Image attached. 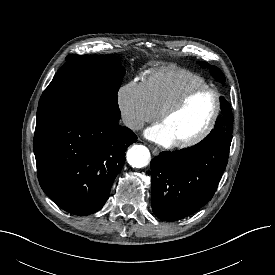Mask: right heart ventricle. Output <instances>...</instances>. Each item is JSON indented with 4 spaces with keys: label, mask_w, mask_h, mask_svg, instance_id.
<instances>
[{
    "label": "right heart ventricle",
    "mask_w": 275,
    "mask_h": 275,
    "mask_svg": "<svg viewBox=\"0 0 275 275\" xmlns=\"http://www.w3.org/2000/svg\"><path fill=\"white\" fill-rule=\"evenodd\" d=\"M206 85L204 78L179 68L151 70L144 78L143 86L156 113L177 100L186 91Z\"/></svg>",
    "instance_id": "1"
}]
</instances>
